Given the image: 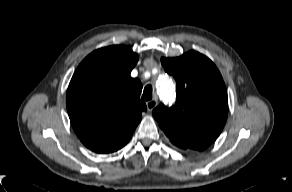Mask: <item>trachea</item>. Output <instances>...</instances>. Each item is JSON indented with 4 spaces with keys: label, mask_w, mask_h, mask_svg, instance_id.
Returning <instances> with one entry per match:
<instances>
[{
    "label": "trachea",
    "mask_w": 292,
    "mask_h": 192,
    "mask_svg": "<svg viewBox=\"0 0 292 192\" xmlns=\"http://www.w3.org/2000/svg\"><path fill=\"white\" fill-rule=\"evenodd\" d=\"M142 99L145 100V101H148V100L152 99V86L151 85H147L144 88Z\"/></svg>",
    "instance_id": "obj_1"
}]
</instances>
